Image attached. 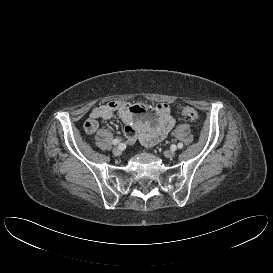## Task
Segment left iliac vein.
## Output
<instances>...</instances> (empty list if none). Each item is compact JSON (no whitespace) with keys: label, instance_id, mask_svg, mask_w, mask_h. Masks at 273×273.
Instances as JSON below:
<instances>
[{"label":"left iliac vein","instance_id":"4c4485c4","mask_svg":"<svg viewBox=\"0 0 273 273\" xmlns=\"http://www.w3.org/2000/svg\"><path fill=\"white\" fill-rule=\"evenodd\" d=\"M164 156H165L166 158H173V157L175 156V151H172V150H170V151H165V152H164Z\"/></svg>","mask_w":273,"mask_h":273}]
</instances>
